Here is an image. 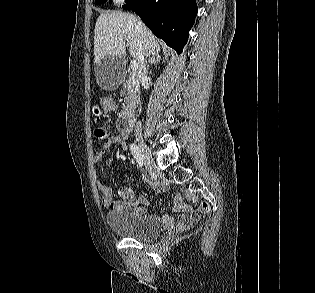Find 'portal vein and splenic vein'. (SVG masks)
<instances>
[{
    "label": "portal vein and splenic vein",
    "mask_w": 315,
    "mask_h": 293,
    "mask_svg": "<svg viewBox=\"0 0 315 293\" xmlns=\"http://www.w3.org/2000/svg\"><path fill=\"white\" fill-rule=\"evenodd\" d=\"M130 69H131L133 72H135V71L138 69V63L135 62V61H132V62L130 63Z\"/></svg>",
    "instance_id": "portal-vein-and-splenic-vein-1"
}]
</instances>
